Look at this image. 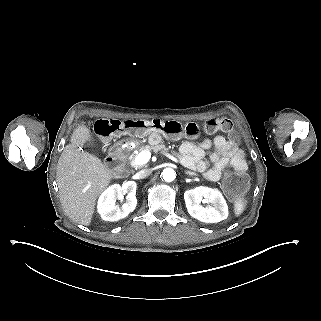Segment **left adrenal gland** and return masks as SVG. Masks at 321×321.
Segmentation results:
<instances>
[{
	"label": "left adrenal gland",
	"mask_w": 321,
	"mask_h": 321,
	"mask_svg": "<svg viewBox=\"0 0 321 321\" xmlns=\"http://www.w3.org/2000/svg\"><path fill=\"white\" fill-rule=\"evenodd\" d=\"M184 173L189 176H195V173L191 171H185Z\"/></svg>",
	"instance_id": "a2214340"
}]
</instances>
